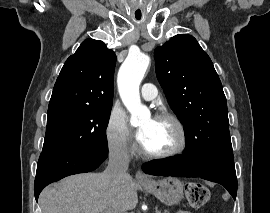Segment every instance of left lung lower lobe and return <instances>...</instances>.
<instances>
[{
	"label": "left lung lower lobe",
	"mask_w": 270,
	"mask_h": 213,
	"mask_svg": "<svg viewBox=\"0 0 270 213\" xmlns=\"http://www.w3.org/2000/svg\"><path fill=\"white\" fill-rule=\"evenodd\" d=\"M143 171L160 176L201 177L223 185L236 198L237 178L233 156L206 160L197 154L192 145L186 143L182 155L150 161L144 164Z\"/></svg>",
	"instance_id": "left-lung-lower-lobe-1"
}]
</instances>
